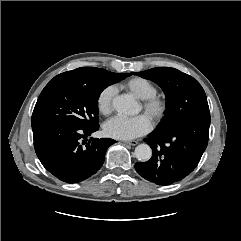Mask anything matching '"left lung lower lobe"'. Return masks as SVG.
I'll return each instance as SVG.
<instances>
[{
	"label": "left lung lower lobe",
	"mask_w": 241,
	"mask_h": 241,
	"mask_svg": "<svg viewBox=\"0 0 241 241\" xmlns=\"http://www.w3.org/2000/svg\"><path fill=\"white\" fill-rule=\"evenodd\" d=\"M209 126L210 118H201L167 132L154 130L145 139L152 148V157L137 162L136 171L158 185L182 180L198 165L208 144Z\"/></svg>",
	"instance_id": "0a47b994"
}]
</instances>
